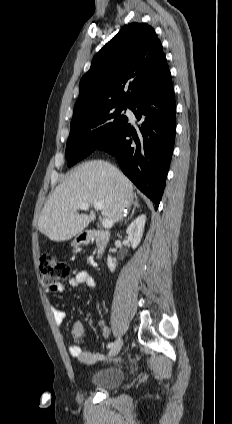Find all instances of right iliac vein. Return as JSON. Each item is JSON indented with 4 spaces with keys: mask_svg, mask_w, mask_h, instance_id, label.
I'll return each mask as SVG.
<instances>
[{
    "mask_svg": "<svg viewBox=\"0 0 232 424\" xmlns=\"http://www.w3.org/2000/svg\"><path fill=\"white\" fill-rule=\"evenodd\" d=\"M122 345H123L122 339L121 338H118L115 341L113 347L110 348V351L108 353V356L112 357V356L117 355L119 353V351L121 350Z\"/></svg>",
    "mask_w": 232,
    "mask_h": 424,
    "instance_id": "63e3f726",
    "label": "right iliac vein"
}]
</instances>
